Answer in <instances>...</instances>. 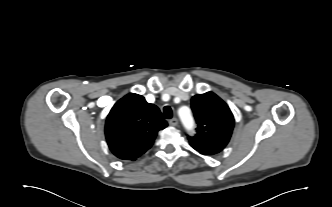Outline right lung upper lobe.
Here are the masks:
<instances>
[{"mask_svg": "<svg viewBox=\"0 0 332 207\" xmlns=\"http://www.w3.org/2000/svg\"><path fill=\"white\" fill-rule=\"evenodd\" d=\"M167 122L160 110L141 95L129 93L111 109L105 124L108 146L123 160H136L153 144Z\"/></svg>", "mask_w": 332, "mask_h": 207, "instance_id": "obj_1", "label": "right lung upper lobe"}]
</instances>
